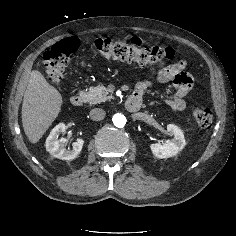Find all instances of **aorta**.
I'll use <instances>...</instances> for the list:
<instances>
[{
    "label": "aorta",
    "instance_id": "762f6f07",
    "mask_svg": "<svg viewBox=\"0 0 236 236\" xmlns=\"http://www.w3.org/2000/svg\"><path fill=\"white\" fill-rule=\"evenodd\" d=\"M113 124L116 127L122 128L126 124V117L123 114H115L112 118Z\"/></svg>",
    "mask_w": 236,
    "mask_h": 236
}]
</instances>
